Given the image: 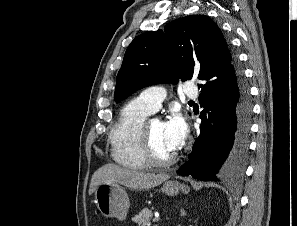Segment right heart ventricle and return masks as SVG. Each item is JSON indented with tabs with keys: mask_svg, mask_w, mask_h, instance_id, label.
I'll return each instance as SVG.
<instances>
[{
	"mask_svg": "<svg viewBox=\"0 0 297 226\" xmlns=\"http://www.w3.org/2000/svg\"><path fill=\"white\" fill-rule=\"evenodd\" d=\"M152 112L138 98L126 103L111 129V155L119 165L144 169L147 161L142 153L139 131Z\"/></svg>",
	"mask_w": 297,
	"mask_h": 226,
	"instance_id": "right-heart-ventricle-1",
	"label": "right heart ventricle"
}]
</instances>
